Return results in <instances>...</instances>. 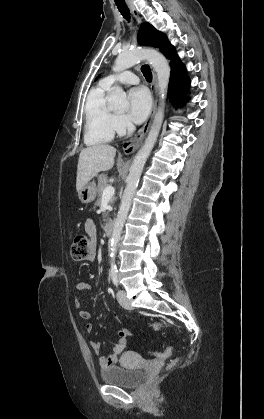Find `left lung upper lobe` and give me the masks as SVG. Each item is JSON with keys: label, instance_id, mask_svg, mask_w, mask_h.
I'll return each instance as SVG.
<instances>
[{"label": "left lung upper lobe", "instance_id": "1", "mask_svg": "<svg viewBox=\"0 0 264 419\" xmlns=\"http://www.w3.org/2000/svg\"><path fill=\"white\" fill-rule=\"evenodd\" d=\"M137 39L139 44L151 45L160 48L162 52L171 51L173 48V46L169 43L166 35L156 30L147 22L141 25Z\"/></svg>", "mask_w": 264, "mask_h": 419}]
</instances>
